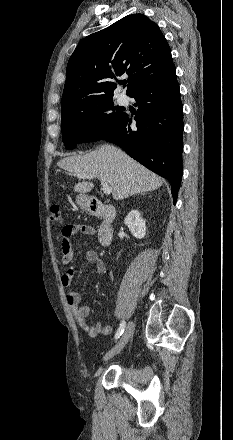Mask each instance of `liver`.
I'll list each match as a JSON object with an SVG mask.
<instances>
[{"label": "liver", "mask_w": 233, "mask_h": 440, "mask_svg": "<svg viewBox=\"0 0 233 440\" xmlns=\"http://www.w3.org/2000/svg\"><path fill=\"white\" fill-rule=\"evenodd\" d=\"M58 166L70 173L91 174L105 179L112 187V197L122 200L129 196L158 189L163 180L143 165L129 157L121 149L104 144L86 155L61 159ZM80 178V177H79ZM94 187L91 182H78L74 191L88 193Z\"/></svg>", "instance_id": "liver-1"}]
</instances>
